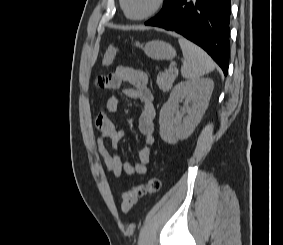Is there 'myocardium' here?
I'll use <instances>...</instances> for the list:
<instances>
[{
  "label": "myocardium",
  "instance_id": "1",
  "mask_svg": "<svg viewBox=\"0 0 283 245\" xmlns=\"http://www.w3.org/2000/svg\"><path fill=\"white\" fill-rule=\"evenodd\" d=\"M165 2L166 0H156L154 7L147 13L140 15V16H132L127 12L126 7H125V0H120V6L123 11V14L125 15L127 19L131 21H143V20L153 17L158 12H160L161 9L164 7Z\"/></svg>",
  "mask_w": 283,
  "mask_h": 245
}]
</instances>
